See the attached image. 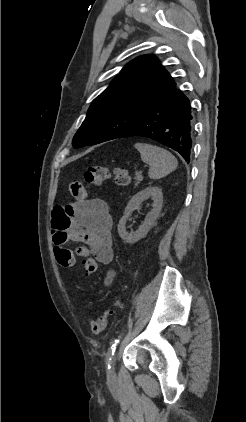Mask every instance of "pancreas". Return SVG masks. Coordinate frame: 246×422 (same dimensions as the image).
I'll return each instance as SVG.
<instances>
[{"label":"pancreas","instance_id":"obj_1","mask_svg":"<svg viewBox=\"0 0 246 422\" xmlns=\"http://www.w3.org/2000/svg\"><path fill=\"white\" fill-rule=\"evenodd\" d=\"M135 179H136V182H135V185H138L139 184V182L140 181H142V176H139V175H137L136 177H135Z\"/></svg>","mask_w":246,"mask_h":422}]
</instances>
